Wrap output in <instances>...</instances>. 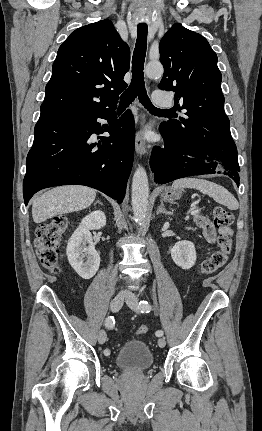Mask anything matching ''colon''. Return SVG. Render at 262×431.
Returning a JSON list of instances; mask_svg holds the SVG:
<instances>
[{
  "label": "colon",
  "mask_w": 262,
  "mask_h": 431,
  "mask_svg": "<svg viewBox=\"0 0 262 431\" xmlns=\"http://www.w3.org/2000/svg\"><path fill=\"white\" fill-rule=\"evenodd\" d=\"M234 221L233 214L221 207L214 210V224L217 227L226 228ZM70 220L66 216H57L51 222L42 224L37 228L36 243L38 257L42 266L57 274L60 270V244L70 228ZM231 253V239L228 234L223 233L218 239V248L205 260L202 261L198 273L208 276L223 267ZM148 332V327L143 325L138 328V334Z\"/></svg>",
  "instance_id": "colon-1"
}]
</instances>
